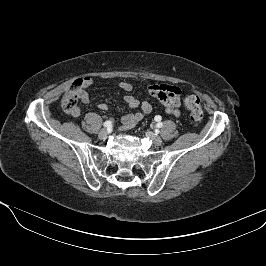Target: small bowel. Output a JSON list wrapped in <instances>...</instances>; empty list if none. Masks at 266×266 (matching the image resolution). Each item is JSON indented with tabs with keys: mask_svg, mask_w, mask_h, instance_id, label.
Instances as JSON below:
<instances>
[{
	"mask_svg": "<svg viewBox=\"0 0 266 266\" xmlns=\"http://www.w3.org/2000/svg\"><path fill=\"white\" fill-rule=\"evenodd\" d=\"M79 82V99L82 101V103L88 104L90 102V96L87 89L91 87L93 81L90 77H84L79 79ZM119 88L125 92H130L132 90V85L128 82H120ZM148 93L160 100L166 113L174 116L180 115L182 91L179 87L169 84H156L149 86ZM124 101L131 110H134L140 106V111L125 115L122 118V129H130L134 127L145 115L152 111V106L148 101L140 102L132 95L125 96ZM99 108L101 110H106L107 106L106 104H100ZM81 113L82 109L78 107L76 111L71 114L73 116H79Z\"/></svg>",
	"mask_w": 266,
	"mask_h": 266,
	"instance_id": "obj_1",
	"label": "small bowel"
}]
</instances>
